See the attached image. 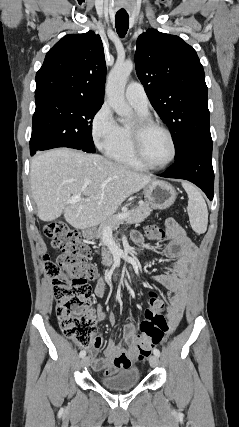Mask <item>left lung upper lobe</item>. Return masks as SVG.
I'll return each mask as SVG.
<instances>
[{
  "mask_svg": "<svg viewBox=\"0 0 239 427\" xmlns=\"http://www.w3.org/2000/svg\"><path fill=\"white\" fill-rule=\"evenodd\" d=\"M135 64L152 106L171 131L175 156L192 142L211 140L208 89L193 47L149 29L137 39Z\"/></svg>",
  "mask_w": 239,
  "mask_h": 427,
  "instance_id": "obj_1",
  "label": "left lung upper lobe"
}]
</instances>
